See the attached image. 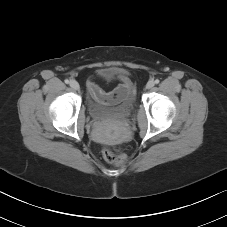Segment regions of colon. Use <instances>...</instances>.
Listing matches in <instances>:
<instances>
[{"instance_id": "1", "label": "colon", "mask_w": 227, "mask_h": 227, "mask_svg": "<svg viewBox=\"0 0 227 227\" xmlns=\"http://www.w3.org/2000/svg\"><path fill=\"white\" fill-rule=\"evenodd\" d=\"M104 159L115 165H122L126 161V156L121 153H115L109 148L103 150Z\"/></svg>"}]
</instances>
